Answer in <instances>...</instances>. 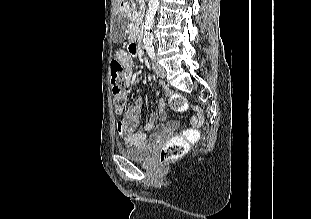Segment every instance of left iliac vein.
I'll return each instance as SVG.
<instances>
[{
	"instance_id": "left-iliac-vein-1",
	"label": "left iliac vein",
	"mask_w": 311,
	"mask_h": 219,
	"mask_svg": "<svg viewBox=\"0 0 311 219\" xmlns=\"http://www.w3.org/2000/svg\"><path fill=\"white\" fill-rule=\"evenodd\" d=\"M152 66H153V70L157 74V76H159L162 79L165 78L166 71L160 64H158L157 62L154 61L152 63Z\"/></svg>"
}]
</instances>
